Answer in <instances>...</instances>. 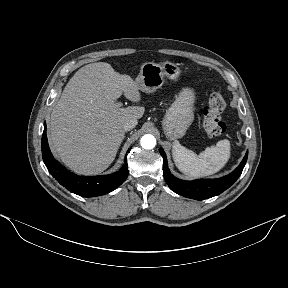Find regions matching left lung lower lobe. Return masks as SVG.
Returning <instances> with one entry per match:
<instances>
[{"instance_id": "0a47b994", "label": "left lung lower lobe", "mask_w": 288, "mask_h": 288, "mask_svg": "<svg viewBox=\"0 0 288 288\" xmlns=\"http://www.w3.org/2000/svg\"><path fill=\"white\" fill-rule=\"evenodd\" d=\"M163 157V176L172 191L187 198L204 200L219 195L229 188L241 175L246 164L248 152H246L240 165L229 175L218 179H198L185 181L174 177L168 168L164 150H159Z\"/></svg>"}]
</instances>
